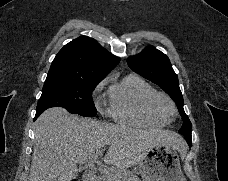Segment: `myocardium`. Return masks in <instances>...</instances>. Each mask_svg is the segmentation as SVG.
<instances>
[{
    "mask_svg": "<svg viewBox=\"0 0 228 181\" xmlns=\"http://www.w3.org/2000/svg\"><path fill=\"white\" fill-rule=\"evenodd\" d=\"M151 109L159 115H169L174 113V108L170 100L165 97H157L151 103Z\"/></svg>",
    "mask_w": 228,
    "mask_h": 181,
    "instance_id": "1",
    "label": "myocardium"
}]
</instances>
